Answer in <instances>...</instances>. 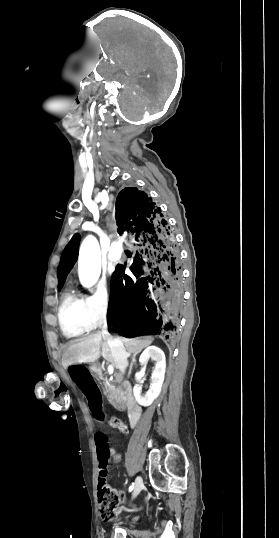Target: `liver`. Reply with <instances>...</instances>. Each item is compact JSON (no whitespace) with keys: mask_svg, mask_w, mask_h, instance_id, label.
Instances as JSON below:
<instances>
[{"mask_svg":"<svg viewBox=\"0 0 279 538\" xmlns=\"http://www.w3.org/2000/svg\"><path fill=\"white\" fill-rule=\"evenodd\" d=\"M102 338V334H89V336H85V338H81V340H74L73 344H70L67 350V354L70 358L69 364H76V362H78V364L96 362V360L100 358V350H102V356L107 362L115 364L110 346H108L107 342H103ZM121 342H124V346L130 356L133 352H137L138 354L143 348L150 346L153 342V338H151V336H146L145 340H140V338H132V340L121 338Z\"/></svg>","mask_w":279,"mask_h":538,"instance_id":"obj_1","label":"liver"}]
</instances>
